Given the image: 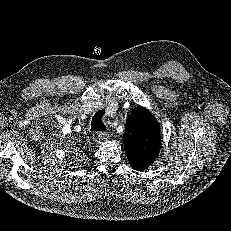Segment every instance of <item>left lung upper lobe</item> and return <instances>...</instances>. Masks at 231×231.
Here are the masks:
<instances>
[{"mask_svg":"<svg viewBox=\"0 0 231 231\" xmlns=\"http://www.w3.org/2000/svg\"><path fill=\"white\" fill-rule=\"evenodd\" d=\"M124 149L129 163L138 170L147 169L160 150V127L151 113L137 108L125 125Z\"/></svg>","mask_w":231,"mask_h":231,"instance_id":"1","label":"left lung upper lobe"}]
</instances>
